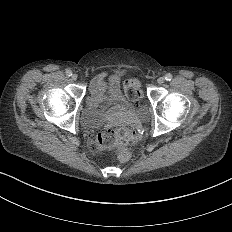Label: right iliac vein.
Segmentation results:
<instances>
[{
  "label": "right iliac vein",
  "instance_id": "right-iliac-vein-1",
  "mask_svg": "<svg viewBox=\"0 0 232 232\" xmlns=\"http://www.w3.org/2000/svg\"><path fill=\"white\" fill-rule=\"evenodd\" d=\"M72 79H73V80H76V79H77V75H73V76H72Z\"/></svg>",
  "mask_w": 232,
  "mask_h": 232
}]
</instances>
